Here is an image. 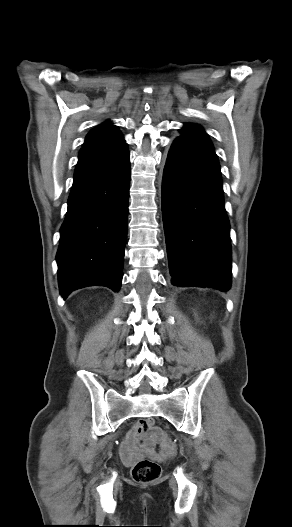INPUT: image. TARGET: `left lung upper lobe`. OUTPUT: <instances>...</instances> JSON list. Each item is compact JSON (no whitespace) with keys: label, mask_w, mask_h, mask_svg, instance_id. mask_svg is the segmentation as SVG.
Here are the masks:
<instances>
[{"label":"left lung upper lobe","mask_w":292,"mask_h":527,"mask_svg":"<svg viewBox=\"0 0 292 527\" xmlns=\"http://www.w3.org/2000/svg\"><path fill=\"white\" fill-rule=\"evenodd\" d=\"M182 133L176 140L190 141L196 144L204 145L206 147L212 148L213 145L208 138L207 134L204 132L202 127L196 124H185V126L180 129Z\"/></svg>","instance_id":"left-lung-upper-lobe-1"}]
</instances>
